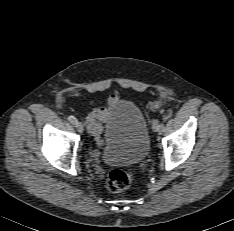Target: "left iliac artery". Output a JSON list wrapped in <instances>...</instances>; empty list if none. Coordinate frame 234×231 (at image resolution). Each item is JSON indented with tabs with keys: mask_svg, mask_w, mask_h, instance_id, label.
<instances>
[{
	"mask_svg": "<svg viewBox=\"0 0 234 231\" xmlns=\"http://www.w3.org/2000/svg\"><path fill=\"white\" fill-rule=\"evenodd\" d=\"M163 131H164V123L161 122V123L159 124V132H163Z\"/></svg>",
	"mask_w": 234,
	"mask_h": 231,
	"instance_id": "obj_1",
	"label": "left iliac artery"
}]
</instances>
